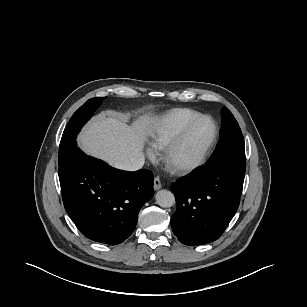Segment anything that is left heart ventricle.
I'll return each mask as SVG.
<instances>
[{
	"mask_svg": "<svg viewBox=\"0 0 307 307\" xmlns=\"http://www.w3.org/2000/svg\"><path fill=\"white\" fill-rule=\"evenodd\" d=\"M214 135V125L204 119L198 122L189 132L174 156L176 164H189L200 157Z\"/></svg>",
	"mask_w": 307,
	"mask_h": 307,
	"instance_id": "b2bd125f",
	"label": "left heart ventricle"
}]
</instances>
